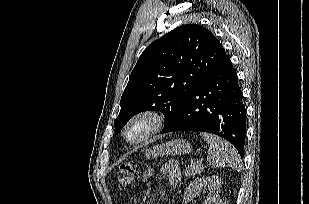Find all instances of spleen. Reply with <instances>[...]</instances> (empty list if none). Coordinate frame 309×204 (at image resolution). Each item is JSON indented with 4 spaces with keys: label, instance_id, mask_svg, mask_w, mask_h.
<instances>
[{
    "label": "spleen",
    "instance_id": "1",
    "mask_svg": "<svg viewBox=\"0 0 309 204\" xmlns=\"http://www.w3.org/2000/svg\"><path fill=\"white\" fill-rule=\"evenodd\" d=\"M200 135L208 143L207 161L211 167H231L239 171L242 166L237 150L218 136L202 132Z\"/></svg>",
    "mask_w": 309,
    "mask_h": 204
}]
</instances>
